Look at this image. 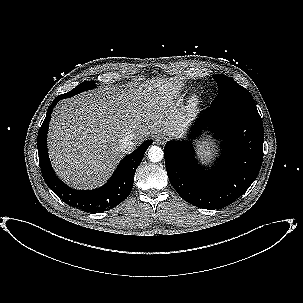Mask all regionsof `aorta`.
<instances>
[{"mask_svg":"<svg viewBox=\"0 0 303 303\" xmlns=\"http://www.w3.org/2000/svg\"><path fill=\"white\" fill-rule=\"evenodd\" d=\"M164 157V152L161 147L151 146L148 150V158L151 162H160Z\"/></svg>","mask_w":303,"mask_h":303,"instance_id":"aorta-1","label":"aorta"}]
</instances>
